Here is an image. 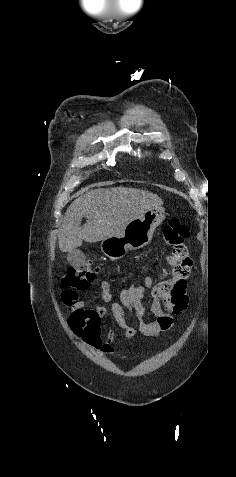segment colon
<instances>
[{"instance_id": "obj_1", "label": "colon", "mask_w": 236, "mask_h": 477, "mask_svg": "<svg viewBox=\"0 0 236 477\" xmlns=\"http://www.w3.org/2000/svg\"><path fill=\"white\" fill-rule=\"evenodd\" d=\"M188 235V227L176 218L169 220L163 227L164 242L172 248L169 257L170 264L175 266L173 267L172 277L180 262L189 257L188 249L183 244V240L188 237ZM97 272V268H93L89 265L70 267L62 278V286L71 292L73 298L76 299L78 291H84L94 283L95 274ZM179 274H183V272Z\"/></svg>"}]
</instances>
